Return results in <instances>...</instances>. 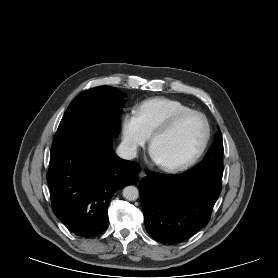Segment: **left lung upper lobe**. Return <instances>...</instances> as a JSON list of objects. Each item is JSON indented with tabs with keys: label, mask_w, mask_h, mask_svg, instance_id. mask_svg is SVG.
Here are the masks:
<instances>
[{
	"label": "left lung upper lobe",
	"mask_w": 278,
	"mask_h": 278,
	"mask_svg": "<svg viewBox=\"0 0 278 278\" xmlns=\"http://www.w3.org/2000/svg\"><path fill=\"white\" fill-rule=\"evenodd\" d=\"M187 173L204 174L222 178L223 175V141L221 131L216 133L214 142L205 158Z\"/></svg>",
	"instance_id": "1"
}]
</instances>
